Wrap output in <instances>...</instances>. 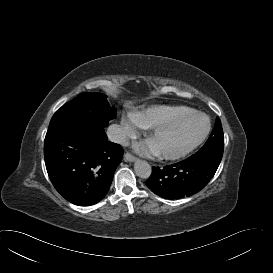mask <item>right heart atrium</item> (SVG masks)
Here are the masks:
<instances>
[{"mask_svg":"<svg viewBox=\"0 0 273 273\" xmlns=\"http://www.w3.org/2000/svg\"><path fill=\"white\" fill-rule=\"evenodd\" d=\"M120 126L123 135L127 137L133 136L137 131L135 124L128 118H123L120 122Z\"/></svg>","mask_w":273,"mask_h":273,"instance_id":"d8ad5b80","label":"right heart atrium"}]
</instances>
